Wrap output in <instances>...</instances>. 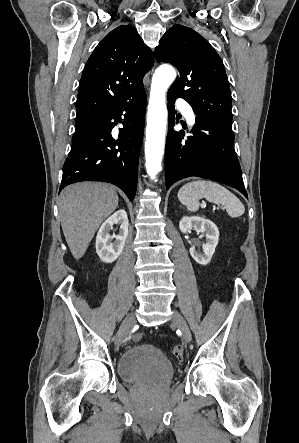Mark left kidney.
<instances>
[{
  "instance_id": "left-kidney-1",
  "label": "left kidney",
  "mask_w": 299,
  "mask_h": 443,
  "mask_svg": "<svg viewBox=\"0 0 299 443\" xmlns=\"http://www.w3.org/2000/svg\"><path fill=\"white\" fill-rule=\"evenodd\" d=\"M179 228L182 233H187L191 229L205 233L206 243L203 245V253L198 252L194 246H192L189 251L190 255L197 263L200 265H207L218 244L219 230L217 226L211 220L199 216H185L180 220Z\"/></svg>"
}]
</instances>
